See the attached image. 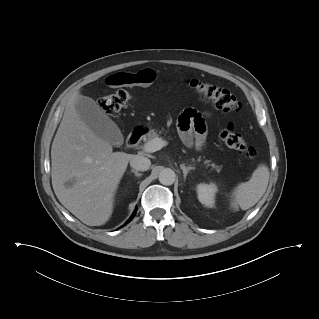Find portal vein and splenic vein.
Here are the masks:
<instances>
[{"instance_id":"1","label":"portal vein and splenic vein","mask_w":319,"mask_h":319,"mask_svg":"<svg viewBox=\"0 0 319 319\" xmlns=\"http://www.w3.org/2000/svg\"><path fill=\"white\" fill-rule=\"evenodd\" d=\"M164 146H166V141L156 137L144 145V151L147 153H153L162 149Z\"/></svg>"}]
</instances>
